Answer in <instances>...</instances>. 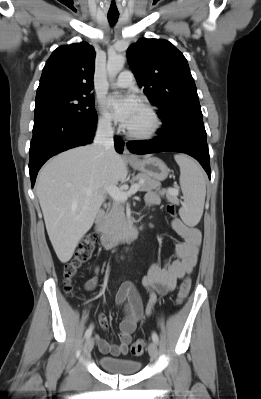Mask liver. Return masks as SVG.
Instances as JSON below:
<instances>
[{"mask_svg": "<svg viewBox=\"0 0 261 399\" xmlns=\"http://www.w3.org/2000/svg\"><path fill=\"white\" fill-rule=\"evenodd\" d=\"M149 156H145L148 158ZM123 158L91 144L60 153L39 172L36 195L58 259L68 262L92 227L107 187L127 177ZM86 189H92L87 195Z\"/></svg>", "mask_w": 261, "mask_h": 399, "instance_id": "obj_1", "label": "liver"}]
</instances>
